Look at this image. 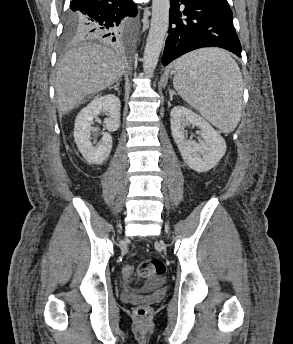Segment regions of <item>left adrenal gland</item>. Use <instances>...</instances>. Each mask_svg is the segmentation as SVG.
I'll use <instances>...</instances> for the list:
<instances>
[{
	"label": "left adrenal gland",
	"instance_id": "1",
	"mask_svg": "<svg viewBox=\"0 0 293 344\" xmlns=\"http://www.w3.org/2000/svg\"><path fill=\"white\" fill-rule=\"evenodd\" d=\"M169 95H170V100H172L173 95H176V93L173 90L169 89Z\"/></svg>",
	"mask_w": 293,
	"mask_h": 344
}]
</instances>
